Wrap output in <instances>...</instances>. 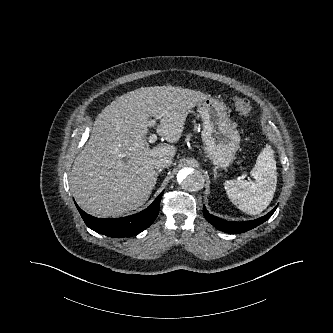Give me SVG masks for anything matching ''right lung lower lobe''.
<instances>
[{
	"instance_id": "right-lung-lower-lobe-1",
	"label": "right lung lower lobe",
	"mask_w": 333,
	"mask_h": 333,
	"mask_svg": "<svg viewBox=\"0 0 333 333\" xmlns=\"http://www.w3.org/2000/svg\"><path fill=\"white\" fill-rule=\"evenodd\" d=\"M163 192L145 210L124 218L101 219L88 215L76 207L85 224L95 232L110 237H131L149 227L159 213V206Z\"/></svg>"
}]
</instances>
